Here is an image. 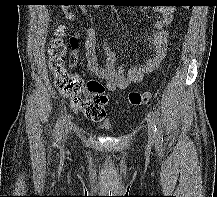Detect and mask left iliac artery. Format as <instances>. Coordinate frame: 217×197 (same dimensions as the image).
Returning <instances> with one entry per match:
<instances>
[{
	"mask_svg": "<svg viewBox=\"0 0 217 197\" xmlns=\"http://www.w3.org/2000/svg\"><path fill=\"white\" fill-rule=\"evenodd\" d=\"M149 116L154 124V131L156 134V140L158 143H162L163 141V132H162V125H161V121L158 117V115L156 114V112L150 111L149 112Z\"/></svg>",
	"mask_w": 217,
	"mask_h": 197,
	"instance_id": "44dca946",
	"label": "left iliac artery"
}]
</instances>
